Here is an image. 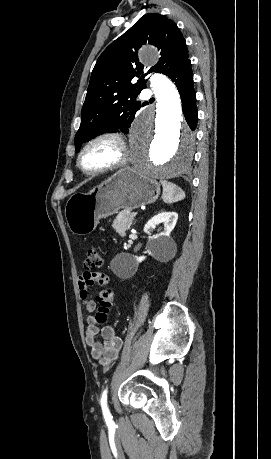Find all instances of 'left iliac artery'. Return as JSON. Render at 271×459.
I'll use <instances>...</instances> for the list:
<instances>
[{
	"mask_svg": "<svg viewBox=\"0 0 271 459\" xmlns=\"http://www.w3.org/2000/svg\"><path fill=\"white\" fill-rule=\"evenodd\" d=\"M101 407H102V411H103V415L104 417L107 419V418H110L111 417V414H110V411H109V408L107 406V390H104L103 394H102V397H101Z\"/></svg>",
	"mask_w": 271,
	"mask_h": 459,
	"instance_id": "obj_1",
	"label": "left iliac artery"
}]
</instances>
